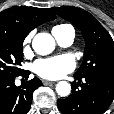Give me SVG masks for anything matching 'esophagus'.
<instances>
[{"mask_svg":"<svg viewBox=\"0 0 114 114\" xmlns=\"http://www.w3.org/2000/svg\"><path fill=\"white\" fill-rule=\"evenodd\" d=\"M42 83H43L44 85H52V84H54L55 82H54V81L43 80Z\"/></svg>","mask_w":114,"mask_h":114,"instance_id":"34e87169","label":"esophagus"}]
</instances>
